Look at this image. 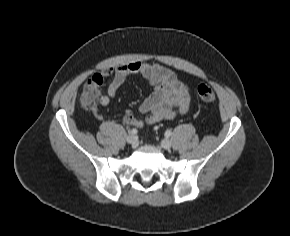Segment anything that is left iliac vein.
Masks as SVG:
<instances>
[{"mask_svg": "<svg viewBox=\"0 0 290 236\" xmlns=\"http://www.w3.org/2000/svg\"><path fill=\"white\" fill-rule=\"evenodd\" d=\"M171 145H172L171 141L169 139H167V138H165V139H163L161 141V146L164 149H170L171 148Z\"/></svg>", "mask_w": 290, "mask_h": 236, "instance_id": "left-iliac-vein-1", "label": "left iliac vein"}]
</instances>
